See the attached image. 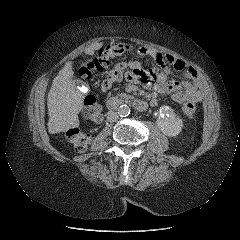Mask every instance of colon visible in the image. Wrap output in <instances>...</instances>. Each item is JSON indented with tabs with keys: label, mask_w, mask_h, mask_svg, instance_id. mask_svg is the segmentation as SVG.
<instances>
[{
	"label": "colon",
	"mask_w": 240,
	"mask_h": 240,
	"mask_svg": "<svg viewBox=\"0 0 240 240\" xmlns=\"http://www.w3.org/2000/svg\"><path fill=\"white\" fill-rule=\"evenodd\" d=\"M131 50V46L124 42L113 43L99 49L92 56L85 58L79 63V74L89 79L96 72L104 71L114 57L123 55ZM184 114L192 118L195 113V104L192 102L183 103ZM83 113L86 118L97 122L101 119V107L94 96H87L84 100ZM67 139L72 143L77 151L87 149L91 136L85 130L79 127H72L66 133Z\"/></svg>",
	"instance_id": "1"
}]
</instances>
